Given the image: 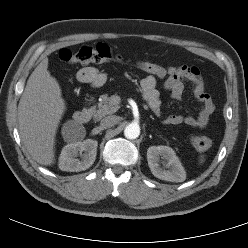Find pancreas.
<instances>
[{"mask_svg": "<svg viewBox=\"0 0 248 248\" xmlns=\"http://www.w3.org/2000/svg\"><path fill=\"white\" fill-rule=\"evenodd\" d=\"M119 108V105L113 104L111 98L104 94L101 96V101L98 103L97 108L93 107L91 110L95 119H101L106 115L115 113Z\"/></svg>", "mask_w": 248, "mask_h": 248, "instance_id": "cf45deb5", "label": "pancreas"}]
</instances>
